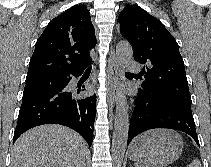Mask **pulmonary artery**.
I'll return each mask as SVG.
<instances>
[{"label":"pulmonary artery","instance_id":"obj_1","mask_svg":"<svg viewBox=\"0 0 211 167\" xmlns=\"http://www.w3.org/2000/svg\"><path fill=\"white\" fill-rule=\"evenodd\" d=\"M126 66L130 70H138L139 69L137 63L135 61H133V60H127L126 61Z\"/></svg>","mask_w":211,"mask_h":167}]
</instances>
